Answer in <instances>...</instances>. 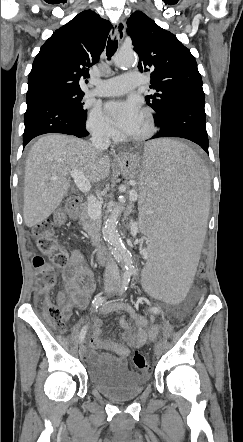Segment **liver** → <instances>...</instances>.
<instances>
[{"label":"liver","mask_w":243,"mask_h":442,"mask_svg":"<svg viewBox=\"0 0 243 442\" xmlns=\"http://www.w3.org/2000/svg\"><path fill=\"white\" fill-rule=\"evenodd\" d=\"M72 170L82 171L89 182H99L110 173V159L98 155L89 142L72 136L48 134L36 141L25 166L26 226L43 222L61 204L70 187L67 177Z\"/></svg>","instance_id":"1"}]
</instances>
